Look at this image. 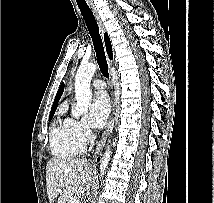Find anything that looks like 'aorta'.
I'll return each mask as SVG.
<instances>
[{
	"label": "aorta",
	"instance_id": "762f6f07",
	"mask_svg": "<svg viewBox=\"0 0 214 203\" xmlns=\"http://www.w3.org/2000/svg\"><path fill=\"white\" fill-rule=\"evenodd\" d=\"M96 64L82 63L76 73L75 77V93L76 106L72 109V116L79 118L81 115L87 113L88 105L91 101L92 94L90 91V82L96 71ZM111 150L108 145L106 151L100 161L101 176L105 174V170L110 161Z\"/></svg>",
	"mask_w": 214,
	"mask_h": 203
}]
</instances>
